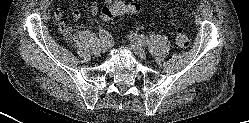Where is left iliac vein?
<instances>
[{"label":"left iliac vein","mask_w":249,"mask_h":123,"mask_svg":"<svg viewBox=\"0 0 249 123\" xmlns=\"http://www.w3.org/2000/svg\"><path fill=\"white\" fill-rule=\"evenodd\" d=\"M130 42H131V49L135 52V54H137L141 59H145L147 56L146 52L137 42V40L134 37H130Z\"/></svg>","instance_id":"1"}]
</instances>
